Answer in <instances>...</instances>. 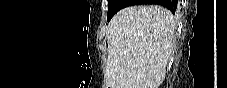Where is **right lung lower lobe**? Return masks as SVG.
<instances>
[{
  "label": "right lung lower lobe",
  "mask_w": 227,
  "mask_h": 88,
  "mask_svg": "<svg viewBox=\"0 0 227 88\" xmlns=\"http://www.w3.org/2000/svg\"><path fill=\"white\" fill-rule=\"evenodd\" d=\"M139 4H158L169 9L173 14L177 9V0H129L127 6Z\"/></svg>",
  "instance_id": "98d812e1"
}]
</instances>
